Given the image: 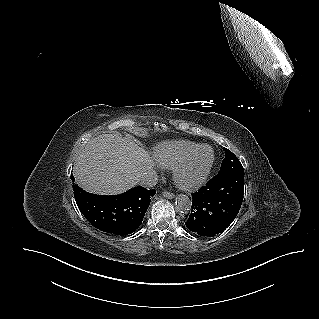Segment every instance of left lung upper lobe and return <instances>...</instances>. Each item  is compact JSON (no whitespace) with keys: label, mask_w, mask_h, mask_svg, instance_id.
<instances>
[{"label":"left lung upper lobe","mask_w":319,"mask_h":319,"mask_svg":"<svg viewBox=\"0 0 319 319\" xmlns=\"http://www.w3.org/2000/svg\"><path fill=\"white\" fill-rule=\"evenodd\" d=\"M225 158L222 161L220 171L218 174L226 173V172H244L243 166L230 150L224 148Z\"/></svg>","instance_id":"left-lung-upper-lobe-1"}]
</instances>
